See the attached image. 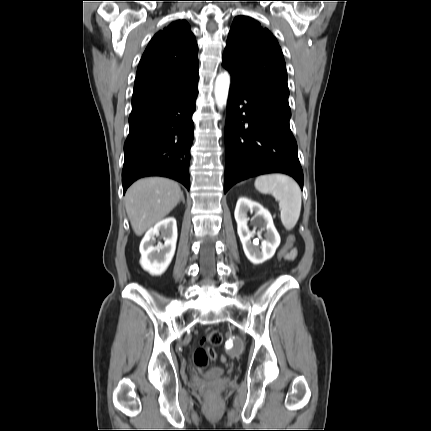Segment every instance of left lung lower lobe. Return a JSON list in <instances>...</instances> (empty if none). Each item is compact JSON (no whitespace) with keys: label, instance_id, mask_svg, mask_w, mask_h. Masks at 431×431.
<instances>
[{"label":"left lung lower lobe","instance_id":"0a47b994","mask_svg":"<svg viewBox=\"0 0 431 431\" xmlns=\"http://www.w3.org/2000/svg\"><path fill=\"white\" fill-rule=\"evenodd\" d=\"M290 109L231 81L225 126L226 193L234 184L266 173L292 176L303 189Z\"/></svg>","mask_w":431,"mask_h":431}]
</instances>
